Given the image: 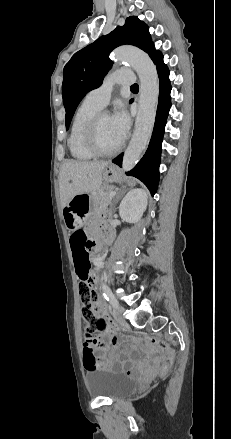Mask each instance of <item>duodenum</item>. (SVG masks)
Wrapping results in <instances>:
<instances>
[{"label":"duodenum","instance_id":"obj_1","mask_svg":"<svg viewBox=\"0 0 231 439\" xmlns=\"http://www.w3.org/2000/svg\"><path fill=\"white\" fill-rule=\"evenodd\" d=\"M105 239H108V236H104ZM93 247H95L97 250L99 249V243L98 240L94 241V243L92 244Z\"/></svg>","mask_w":231,"mask_h":439}]
</instances>
